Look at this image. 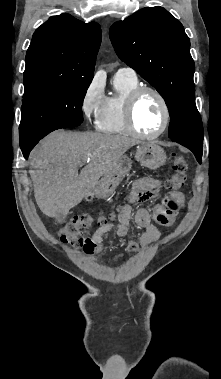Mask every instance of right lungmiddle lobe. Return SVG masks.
<instances>
[{
	"instance_id": "dd1d6c3e",
	"label": "right lung middle lobe",
	"mask_w": 221,
	"mask_h": 379,
	"mask_svg": "<svg viewBox=\"0 0 221 379\" xmlns=\"http://www.w3.org/2000/svg\"><path fill=\"white\" fill-rule=\"evenodd\" d=\"M90 80L57 84L24 92L20 139L34 141L53 130L79 126L82 105Z\"/></svg>"
}]
</instances>
